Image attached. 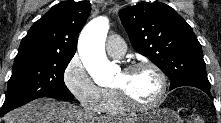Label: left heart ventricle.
Wrapping results in <instances>:
<instances>
[{"mask_svg": "<svg viewBox=\"0 0 221 123\" xmlns=\"http://www.w3.org/2000/svg\"><path fill=\"white\" fill-rule=\"evenodd\" d=\"M113 87L124 88L137 103H152L159 95L160 81L151 69H140L131 74L120 72Z\"/></svg>", "mask_w": 221, "mask_h": 123, "instance_id": "1", "label": "left heart ventricle"}]
</instances>
